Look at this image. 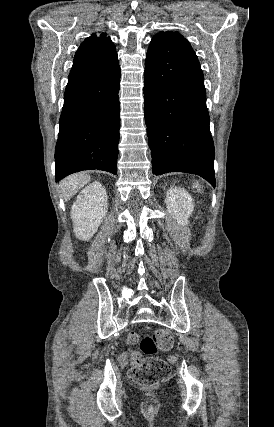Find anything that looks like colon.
Listing matches in <instances>:
<instances>
[{
  "label": "colon",
  "instance_id": "1",
  "mask_svg": "<svg viewBox=\"0 0 274 427\" xmlns=\"http://www.w3.org/2000/svg\"><path fill=\"white\" fill-rule=\"evenodd\" d=\"M131 345L139 343V349L132 356L130 379L135 384L148 387L160 384L171 376V367L156 354L169 350L173 341L169 333L157 329L152 335L139 337L135 332L128 335Z\"/></svg>",
  "mask_w": 274,
  "mask_h": 427
}]
</instances>
